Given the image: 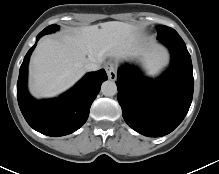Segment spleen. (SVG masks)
<instances>
[{"label":"spleen","instance_id":"1","mask_svg":"<svg viewBox=\"0 0 219 174\" xmlns=\"http://www.w3.org/2000/svg\"><path fill=\"white\" fill-rule=\"evenodd\" d=\"M162 62L159 63L158 65H155L154 67H152L149 71H148V75L150 76H155L159 73L160 68H161Z\"/></svg>","mask_w":219,"mask_h":174}]
</instances>
